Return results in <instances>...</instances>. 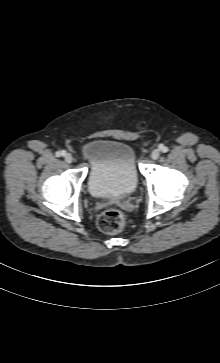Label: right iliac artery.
Here are the masks:
<instances>
[{"mask_svg": "<svg viewBox=\"0 0 220 363\" xmlns=\"http://www.w3.org/2000/svg\"><path fill=\"white\" fill-rule=\"evenodd\" d=\"M65 154H66V152H65V151H57V152H56V156H57V157L64 156Z\"/></svg>", "mask_w": 220, "mask_h": 363, "instance_id": "82829eb1", "label": "right iliac artery"}]
</instances>
